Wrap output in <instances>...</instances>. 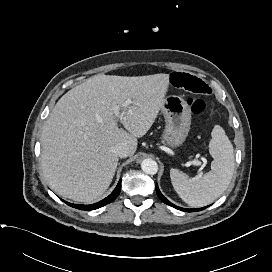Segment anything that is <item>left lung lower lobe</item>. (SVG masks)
<instances>
[{
    "label": "left lung lower lobe",
    "instance_id": "obj_1",
    "mask_svg": "<svg viewBox=\"0 0 272 272\" xmlns=\"http://www.w3.org/2000/svg\"><path fill=\"white\" fill-rule=\"evenodd\" d=\"M156 192H157V195L158 197L166 204L176 208V209H179V210H182V211H187V212H194V211H200V210H203L205 209L206 207L204 208H199V209H185V208H181V207H178L174 204H172L171 202H169L160 192L159 188H158V185L156 184Z\"/></svg>",
    "mask_w": 272,
    "mask_h": 272
}]
</instances>
